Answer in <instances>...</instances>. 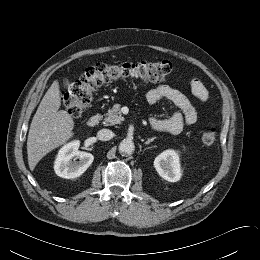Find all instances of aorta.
<instances>
[{
  "label": "aorta",
  "instance_id": "aorta-1",
  "mask_svg": "<svg viewBox=\"0 0 260 260\" xmlns=\"http://www.w3.org/2000/svg\"><path fill=\"white\" fill-rule=\"evenodd\" d=\"M119 153L120 154H126V155H130L134 152L135 150V146L133 141L129 140V139H124L120 142L119 144Z\"/></svg>",
  "mask_w": 260,
  "mask_h": 260
}]
</instances>
